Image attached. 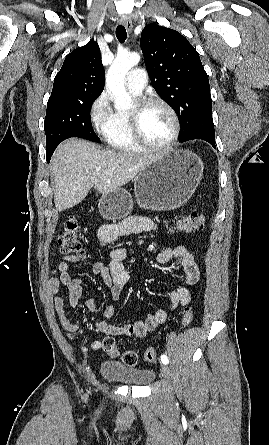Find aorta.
I'll return each mask as SVG.
<instances>
[{
  "mask_svg": "<svg viewBox=\"0 0 269 445\" xmlns=\"http://www.w3.org/2000/svg\"><path fill=\"white\" fill-rule=\"evenodd\" d=\"M140 62L137 53H124L116 57L106 75V86L114 97V106L117 110H126L132 107V98L126 92L124 81L126 73Z\"/></svg>",
  "mask_w": 269,
  "mask_h": 445,
  "instance_id": "aorta-1",
  "label": "aorta"
}]
</instances>
